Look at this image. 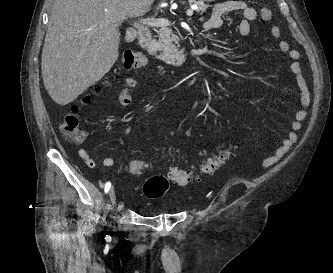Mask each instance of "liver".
<instances>
[{"instance_id":"6515ba94","label":"liver","mask_w":333,"mask_h":273,"mask_svg":"<svg viewBox=\"0 0 333 273\" xmlns=\"http://www.w3.org/2000/svg\"><path fill=\"white\" fill-rule=\"evenodd\" d=\"M154 0H55L42 50L44 87L59 105L101 80L119 56V26Z\"/></svg>"}]
</instances>
